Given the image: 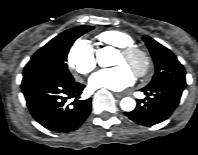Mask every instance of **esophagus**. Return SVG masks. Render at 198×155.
Masks as SVG:
<instances>
[{"mask_svg": "<svg viewBox=\"0 0 198 155\" xmlns=\"http://www.w3.org/2000/svg\"><path fill=\"white\" fill-rule=\"evenodd\" d=\"M115 97H117V98H122V97H124V94H122V93H116V94H115Z\"/></svg>", "mask_w": 198, "mask_h": 155, "instance_id": "esophagus-1", "label": "esophagus"}]
</instances>
